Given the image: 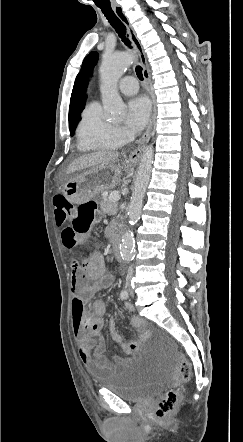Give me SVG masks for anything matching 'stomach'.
Returning a JSON list of instances; mask_svg holds the SVG:
<instances>
[{
  "mask_svg": "<svg viewBox=\"0 0 243 442\" xmlns=\"http://www.w3.org/2000/svg\"><path fill=\"white\" fill-rule=\"evenodd\" d=\"M120 177L121 168L116 163L100 164L69 179L64 185L63 194L73 203H83L114 188Z\"/></svg>",
  "mask_w": 243,
  "mask_h": 442,
  "instance_id": "0dacf381",
  "label": "stomach"
}]
</instances>
